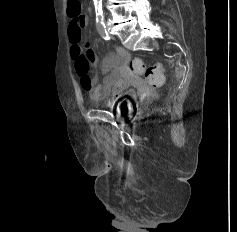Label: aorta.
<instances>
[{
    "label": "aorta",
    "instance_id": "1",
    "mask_svg": "<svg viewBox=\"0 0 237 232\" xmlns=\"http://www.w3.org/2000/svg\"><path fill=\"white\" fill-rule=\"evenodd\" d=\"M95 13H96V21L102 22L104 19L103 11H102V0H93Z\"/></svg>",
    "mask_w": 237,
    "mask_h": 232
}]
</instances>
